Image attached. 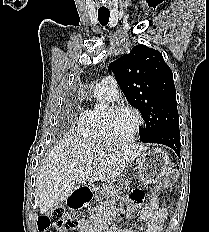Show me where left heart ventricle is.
I'll return each instance as SVG.
<instances>
[{"instance_id": "b2bd125f", "label": "left heart ventricle", "mask_w": 209, "mask_h": 232, "mask_svg": "<svg viewBox=\"0 0 209 232\" xmlns=\"http://www.w3.org/2000/svg\"><path fill=\"white\" fill-rule=\"evenodd\" d=\"M136 126L135 115L127 110L118 111L111 116L110 128L114 136L125 137L131 134Z\"/></svg>"}]
</instances>
